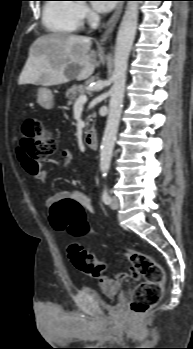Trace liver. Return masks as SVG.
I'll use <instances>...</instances> for the list:
<instances>
[{
  "label": "liver",
  "instance_id": "obj_1",
  "mask_svg": "<svg viewBox=\"0 0 193 349\" xmlns=\"http://www.w3.org/2000/svg\"><path fill=\"white\" fill-rule=\"evenodd\" d=\"M70 65L79 67L77 80H85L93 74L97 57L91 50L89 37L60 33L40 36L29 49L18 83L43 86L66 83L70 79L67 74Z\"/></svg>",
  "mask_w": 193,
  "mask_h": 349
}]
</instances>
